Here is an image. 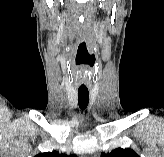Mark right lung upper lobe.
<instances>
[{
  "label": "right lung upper lobe",
  "instance_id": "right-lung-upper-lobe-1",
  "mask_svg": "<svg viewBox=\"0 0 164 157\" xmlns=\"http://www.w3.org/2000/svg\"><path fill=\"white\" fill-rule=\"evenodd\" d=\"M34 157H77L74 154L71 155H66V154H60L57 151H53V152H44V153H40Z\"/></svg>",
  "mask_w": 164,
  "mask_h": 157
}]
</instances>
